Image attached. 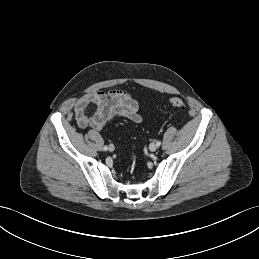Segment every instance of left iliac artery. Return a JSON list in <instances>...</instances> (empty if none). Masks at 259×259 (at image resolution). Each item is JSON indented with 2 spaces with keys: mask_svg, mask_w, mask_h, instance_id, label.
<instances>
[{
  "mask_svg": "<svg viewBox=\"0 0 259 259\" xmlns=\"http://www.w3.org/2000/svg\"><path fill=\"white\" fill-rule=\"evenodd\" d=\"M156 145H157V146H160V145H161V141H157V142H156Z\"/></svg>",
  "mask_w": 259,
  "mask_h": 259,
  "instance_id": "left-iliac-artery-1",
  "label": "left iliac artery"
}]
</instances>
